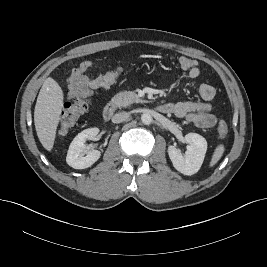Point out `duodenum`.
I'll return each instance as SVG.
<instances>
[{
	"label": "duodenum",
	"mask_w": 267,
	"mask_h": 267,
	"mask_svg": "<svg viewBox=\"0 0 267 267\" xmlns=\"http://www.w3.org/2000/svg\"><path fill=\"white\" fill-rule=\"evenodd\" d=\"M116 104L114 102H109L105 105L103 109V117L105 120H109L116 112ZM158 111L162 113H169L172 110V107L169 104H161L157 107Z\"/></svg>",
	"instance_id": "duodenum-1"
}]
</instances>
